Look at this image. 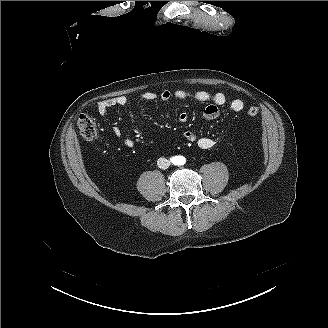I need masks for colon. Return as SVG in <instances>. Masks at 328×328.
I'll return each mask as SVG.
<instances>
[{"instance_id": "colon-1", "label": "colon", "mask_w": 328, "mask_h": 328, "mask_svg": "<svg viewBox=\"0 0 328 328\" xmlns=\"http://www.w3.org/2000/svg\"><path fill=\"white\" fill-rule=\"evenodd\" d=\"M259 113V109L255 106H251L247 109V115L255 117ZM78 127L81 135L86 139H94L97 136V125L95 120L87 115L81 114L78 119Z\"/></svg>"}]
</instances>
